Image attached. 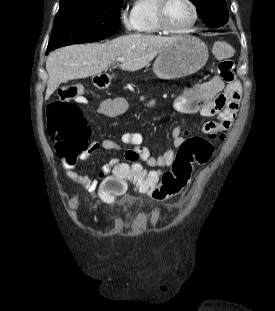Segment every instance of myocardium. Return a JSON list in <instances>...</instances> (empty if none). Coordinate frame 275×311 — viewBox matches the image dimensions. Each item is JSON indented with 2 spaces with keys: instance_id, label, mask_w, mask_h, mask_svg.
<instances>
[{
  "instance_id": "1",
  "label": "myocardium",
  "mask_w": 275,
  "mask_h": 311,
  "mask_svg": "<svg viewBox=\"0 0 275 311\" xmlns=\"http://www.w3.org/2000/svg\"><path fill=\"white\" fill-rule=\"evenodd\" d=\"M192 9V19L191 21L183 28L174 29L171 28L167 22V9L171 0H158L157 5V22L161 31L168 34H184L188 32L197 22L199 13L198 8L194 0H186Z\"/></svg>"
}]
</instances>
